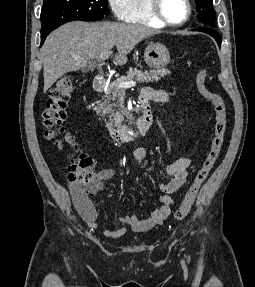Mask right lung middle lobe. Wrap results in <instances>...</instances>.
Masks as SVG:
<instances>
[{"label": "right lung middle lobe", "instance_id": "dd1d6c3e", "mask_svg": "<svg viewBox=\"0 0 255 287\" xmlns=\"http://www.w3.org/2000/svg\"><path fill=\"white\" fill-rule=\"evenodd\" d=\"M108 0H44L41 11V31L57 28L64 23L81 20L95 21L108 13Z\"/></svg>", "mask_w": 255, "mask_h": 287}]
</instances>
